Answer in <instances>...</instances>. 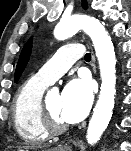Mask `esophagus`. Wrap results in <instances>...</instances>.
Returning <instances> with one entry per match:
<instances>
[{
	"mask_svg": "<svg viewBox=\"0 0 131 151\" xmlns=\"http://www.w3.org/2000/svg\"><path fill=\"white\" fill-rule=\"evenodd\" d=\"M93 63H95V58H94V56H93ZM95 68V67H94Z\"/></svg>",
	"mask_w": 131,
	"mask_h": 151,
	"instance_id": "esophagus-1",
	"label": "esophagus"
}]
</instances>
